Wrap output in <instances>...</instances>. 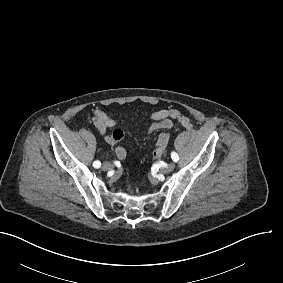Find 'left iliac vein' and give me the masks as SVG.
Masks as SVG:
<instances>
[{
    "mask_svg": "<svg viewBox=\"0 0 283 283\" xmlns=\"http://www.w3.org/2000/svg\"><path fill=\"white\" fill-rule=\"evenodd\" d=\"M173 167L174 163H170L167 167H162L160 171L165 174L168 173L171 169H173Z\"/></svg>",
    "mask_w": 283,
    "mask_h": 283,
    "instance_id": "left-iliac-vein-1",
    "label": "left iliac vein"
}]
</instances>
